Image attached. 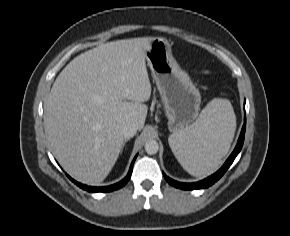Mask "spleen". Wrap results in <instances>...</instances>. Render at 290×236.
<instances>
[{"mask_svg":"<svg viewBox=\"0 0 290 236\" xmlns=\"http://www.w3.org/2000/svg\"><path fill=\"white\" fill-rule=\"evenodd\" d=\"M236 129V117L229 100L215 98L189 127L169 136L172 152L191 175L214 173L228 153Z\"/></svg>","mask_w":290,"mask_h":236,"instance_id":"obj_1","label":"spleen"}]
</instances>
